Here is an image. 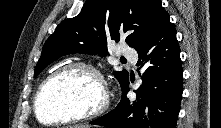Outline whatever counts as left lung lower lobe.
Masks as SVG:
<instances>
[{
    "label": "left lung lower lobe",
    "mask_w": 221,
    "mask_h": 128,
    "mask_svg": "<svg viewBox=\"0 0 221 128\" xmlns=\"http://www.w3.org/2000/svg\"><path fill=\"white\" fill-rule=\"evenodd\" d=\"M143 84L136 90V100L127 97L129 81L122 88V98L115 109L91 124L109 128H175L183 91V70L176 30L169 15L136 49Z\"/></svg>",
    "instance_id": "0a47b994"
}]
</instances>
